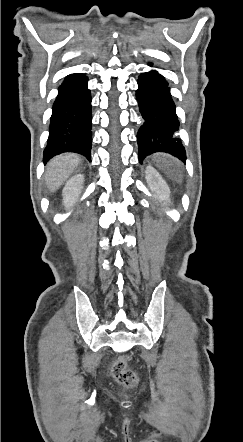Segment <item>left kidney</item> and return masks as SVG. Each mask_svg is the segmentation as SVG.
<instances>
[{
    "instance_id": "left-kidney-1",
    "label": "left kidney",
    "mask_w": 243,
    "mask_h": 442,
    "mask_svg": "<svg viewBox=\"0 0 243 442\" xmlns=\"http://www.w3.org/2000/svg\"><path fill=\"white\" fill-rule=\"evenodd\" d=\"M145 174L149 187L155 192L158 199L164 204L170 205V190L159 173L153 167L147 166Z\"/></svg>"
}]
</instances>
